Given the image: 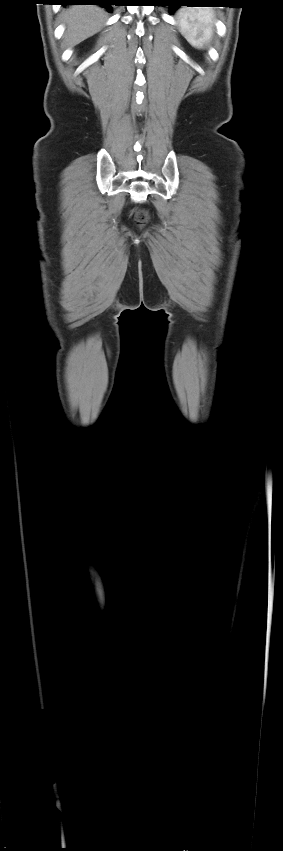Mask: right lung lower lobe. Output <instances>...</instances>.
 I'll use <instances>...</instances> for the list:
<instances>
[{"instance_id":"1","label":"right lung lower lobe","mask_w":283,"mask_h":851,"mask_svg":"<svg viewBox=\"0 0 283 851\" xmlns=\"http://www.w3.org/2000/svg\"><path fill=\"white\" fill-rule=\"evenodd\" d=\"M62 5H101L112 12V5L116 0H56Z\"/></svg>"}]
</instances>
